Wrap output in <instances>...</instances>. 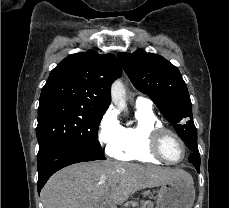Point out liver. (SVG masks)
<instances>
[{
    "instance_id": "6515ba94",
    "label": "liver",
    "mask_w": 229,
    "mask_h": 208,
    "mask_svg": "<svg viewBox=\"0 0 229 208\" xmlns=\"http://www.w3.org/2000/svg\"><path fill=\"white\" fill-rule=\"evenodd\" d=\"M172 180H193L185 170L139 166L114 160L73 164L56 172L41 190L44 208H106L123 204L142 188H156Z\"/></svg>"
}]
</instances>
